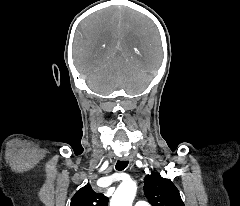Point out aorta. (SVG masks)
<instances>
[{"mask_svg":"<svg viewBox=\"0 0 240 206\" xmlns=\"http://www.w3.org/2000/svg\"><path fill=\"white\" fill-rule=\"evenodd\" d=\"M136 192L135 182L125 181L121 183L110 200V206H132Z\"/></svg>","mask_w":240,"mask_h":206,"instance_id":"obj_1","label":"aorta"}]
</instances>
